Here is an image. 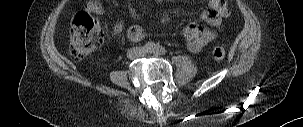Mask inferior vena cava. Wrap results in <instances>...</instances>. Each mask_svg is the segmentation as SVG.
I'll use <instances>...</instances> for the list:
<instances>
[{
    "label": "inferior vena cava",
    "instance_id": "1",
    "mask_svg": "<svg viewBox=\"0 0 303 127\" xmlns=\"http://www.w3.org/2000/svg\"><path fill=\"white\" fill-rule=\"evenodd\" d=\"M144 55L143 51L140 48H132L130 50H128L127 52V57L131 60L140 58Z\"/></svg>",
    "mask_w": 303,
    "mask_h": 127
}]
</instances>
